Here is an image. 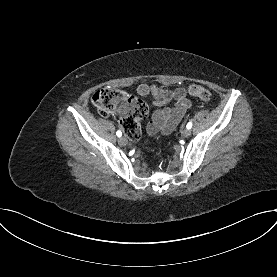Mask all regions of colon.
Wrapping results in <instances>:
<instances>
[{
  "mask_svg": "<svg viewBox=\"0 0 277 277\" xmlns=\"http://www.w3.org/2000/svg\"><path fill=\"white\" fill-rule=\"evenodd\" d=\"M187 92L201 100H208L210 92L203 86L192 84ZM92 103L103 116L121 113L120 125L125 133L136 139L140 132V121L148 114L147 105L140 99L115 88H102L92 95Z\"/></svg>",
  "mask_w": 277,
  "mask_h": 277,
  "instance_id": "5ec220e1",
  "label": "colon"
}]
</instances>
